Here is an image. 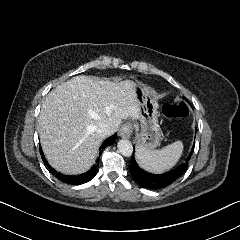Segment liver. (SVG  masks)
Segmentation results:
<instances>
[{
    "label": "liver",
    "mask_w": 240,
    "mask_h": 240,
    "mask_svg": "<svg viewBox=\"0 0 240 240\" xmlns=\"http://www.w3.org/2000/svg\"><path fill=\"white\" fill-rule=\"evenodd\" d=\"M134 80L112 81L78 75L52 89L39 114V138L49 165L66 175H81L95 164L104 138L100 123L118 125L139 118Z\"/></svg>",
    "instance_id": "liver-1"
}]
</instances>
